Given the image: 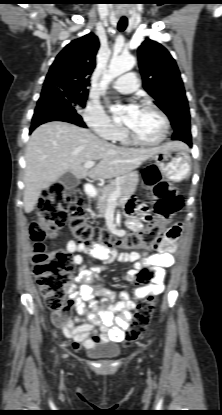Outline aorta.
I'll use <instances>...</instances> for the list:
<instances>
[{"instance_id": "762f6f07", "label": "aorta", "mask_w": 222, "mask_h": 415, "mask_svg": "<svg viewBox=\"0 0 222 415\" xmlns=\"http://www.w3.org/2000/svg\"><path fill=\"white\" fill-rule=\"evenodd\" d=\"M136 64V59L131 55L113 57L110 61L108 72L104 75L105 81H112L123 73L130 71Z\"/></svg>"}]
</instances>
